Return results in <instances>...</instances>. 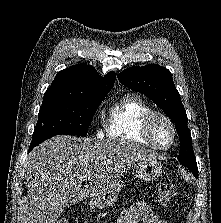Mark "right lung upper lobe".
Returning <instances> with one entry per match:
<instances>
[{
	"instance_id": "cb5924a9",
	"label": "right lung upper lobe",
	"mask_w": 221,
	"mask_h": 223,
	"mask_svg": "<svg viewBox=\"0 0 221 223\" xmlns=\"http://www.w3.org/2000/svg\"><path fill=\"white\" fill-rule=\"evenodd\" d=\"M116 75L112 71L100 78L86 64H77L59 71L44 94L43 102L70 99H101L111 90Z\"/></svg>"
}]
</instances>
